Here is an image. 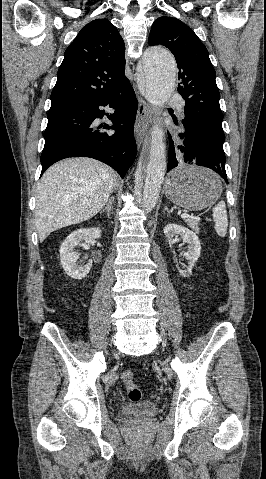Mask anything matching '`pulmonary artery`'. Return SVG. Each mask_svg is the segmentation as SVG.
<instances>
[{
  "mask_svg": "<svg viewBox=\"0 0 266 479\" xmlns=\"http://www.w3.org/2000/svg\"><path fill=\"white\" fill-rule=\"evenodd\" d=\"M171 99L177 98V95L175 93L171 94L170 96ZM179 112L181 115H183V104L181 103L179 106Z\"/></svg>",
  "mask_w": 266,
  "mask_h": 479,
  "instance_id": "pulmonary-artery-1",
  "label": "pulmonary artery"
}]
</instances>
